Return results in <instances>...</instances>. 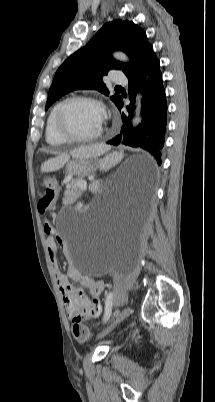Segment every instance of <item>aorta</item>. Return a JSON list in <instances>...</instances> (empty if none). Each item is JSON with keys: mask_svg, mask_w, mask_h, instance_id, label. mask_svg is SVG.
I'll use <instances>...</instances> for the list:
<instances>
[{"mask_svg": "<svg viewBox=\"0 0 215 402\" xmlns=\"http://www.w3.org/2000/svg\"><path fill=\"white\" fill-rule=\"evenodd\" d=\"M114 58L120 61L127 62L128 57L122 53V52H115L113 54ZM141 102H140V97L136 98V109H135V116L132 120L133 125H138L141 122Z\"/></svg>", "mask_w": 215, "mask_h": 402, "instance_id": "1", "label": "aorta"}]
</instances>
